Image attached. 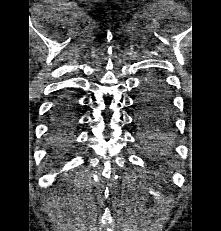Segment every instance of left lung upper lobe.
I'll return each instance as SVG.
<instances>
[{
    "instance_id": "5c2ea615",
    "label": "left lung upper lobe",
    "mask_w": 221,
    "mask_h": 231,
    "mask_svg": "<svg viewBox=\"0 0 221 231\" xmlns=\"http://www.w3.org/2000/svg\"><path fill=\"white\" fill-rule=\"evenodd\" d=\"M162 85L164 86L163 83ZM163 86L155 90L144 89L138 96L137 120L147 130L142 137L144 141L155 136L158 130H165L169 126L170 99ZM151 99H157V104L150 105Z\"/></svg>"
}]
</instances>
